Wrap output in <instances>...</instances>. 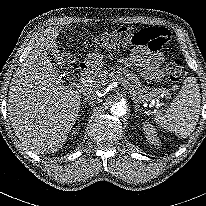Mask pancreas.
Here are the masks:
<instances>
[{
	"mask_svg": "<svg viewBox=\"0 0 206 206\" xmlns=\"http://www.w3.org/2000/svg\"><path fill=\"white\" fill-rule=\"evenodd\" d=\"M119 62L123 63L124 66L112 67L110 70H102L97 74L98 83L105 84L109 80H114L123 83L125 80H131L130 86L136 88L139 93L141 100L148 101L152 98H156L161 93V90L155 89L151 92H148V88L143 85L136 83L133 79V74L127 69V67L132 66L135 61L131 58H122ZM147 93V94H146Z\"/></svg>",
	"mask_w": 206,
	"mask_h": 206,
	"instance_id": "cf45deb5",
	"label": "pancreas"
}]
</instances>
